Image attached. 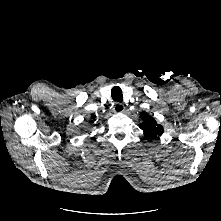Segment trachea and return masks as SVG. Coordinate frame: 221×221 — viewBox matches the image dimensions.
Returning a JSON list of instances; mask_svg holds the SVG:
<instances>
[{"instance_id": "1", "label": "trachea", "mask_w": 221, "mask_h": 221, "mask_svg": "<svg viewBox=\"0 0 221 221\" xmlns=\"http://www.w3.org/2000/svg\"><path fill=\"white\" fill-rule=\"evenodd\" d=\"M111 96H112V99L115 102H120L121 103L123 101L122 90L119 86H115V87L112 88Z\"/></svg>"}]
</instances>
